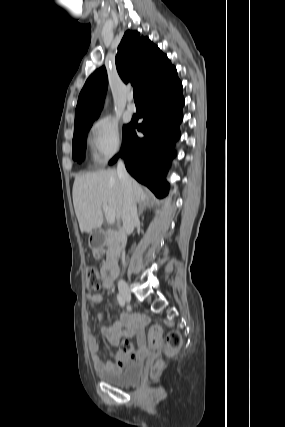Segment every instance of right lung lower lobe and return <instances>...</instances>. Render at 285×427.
Here are the masks:
<instances>
[{
  "label": "right lung lower lobe",
  "mask_w": 285,
  "mask_h": 427,
  "mask_svg": "<svg viewBox=\"0 0 285 427\" xmlns=\"http://www.w3.org/2000/svg\"><path fill=\"white\" fill-rule=\"evenodd\" d=\"M145 103L142 112L133 116L123 136L120 155L128 172L149 187L158 197L168 194L165 175L175 157L174 144L180 137L184 98L175 67L151 81L140 94ZM139 118L143 122L137 124ZM135 128L144 134L138 137ZM115 156L109 164L117 160Z\"/></svg>",
  "instance_id": "right-lung-lower-lobe-1"
}]
</instances>
